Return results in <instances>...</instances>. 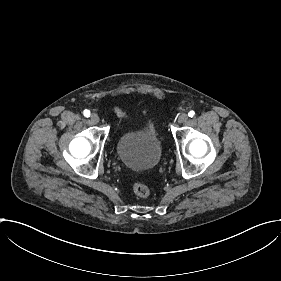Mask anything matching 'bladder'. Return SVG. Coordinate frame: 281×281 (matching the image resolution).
Masks as SVG:
<instances>
[{"mask_svg": "<svg viewBox=\"0 0 281 281\" xmlns=\"http://www.w3.org/2000/svg\"><path fill=\"white\" fill-rule=\"evenodd\" d=\"M117 154L127 166L148 169L161 156V142L152 124L124 132L117 142Z\"/></svg>", "mask_w": 281, "mask_h": 281, "instance_id": "1", "label": "bladder"}]
</instances>
